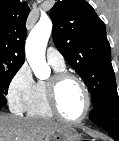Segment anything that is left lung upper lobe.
Returning a JSON list of instances; mask_svg holds the SVG:
<instances>
[{"label":"left lung upper lobe","mask_w":119,"mask_h":141,"mask_svg":"<svg viewBox=\"0 0 119 141\" xmlns=\"http://www.w3.org/2000/svg\"><path fill=\"white\" fill-rule=\"evenodd\" d=\"M53 40L92 94L93 107L118 96L106 28L85 0L58 1L50 12Z\"/></svg>","instance_id":"1"}]
</instances>
